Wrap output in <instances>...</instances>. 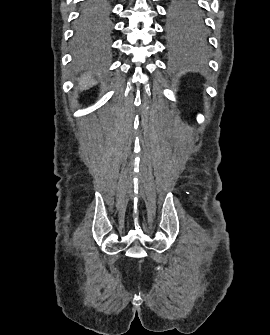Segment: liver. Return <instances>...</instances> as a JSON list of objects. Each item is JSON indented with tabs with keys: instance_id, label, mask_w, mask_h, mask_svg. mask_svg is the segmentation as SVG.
<instances>
[{
	"instance_id": "liver-1",
	"label": "liver",
	"mask_w": 270,
	"mask_h": 335,
	"mask_svg": "<svg viewBox=\"0 0 270 335\" xmlns=\"http://www.w3.org/2000/svg\"><path fill=\"white\" fill-rule=\"evenodd\" d=\"M94 84H96V82L92 80L91 76H83L80 80V86H82L83 90H88V88H91Z\"/></svg>"
}]
</instances>
